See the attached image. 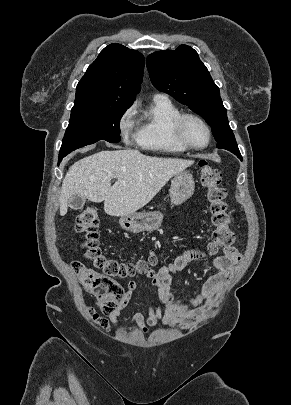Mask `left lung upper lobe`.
Here are the masks:
<instances>
[{"label": "left lung upper lobe", "mask_w": 291, "mask_h": 405, "mask_svg": "<svg viewBox=\"0 0 291 405\" xmlns=\"http://www.w3.org/2000/svg\"><path fill=\"white\" fill-rule=\"evenodd\" d=\"M146 64L151 82L158 90L170 94L206 120L218 148L235 155L240 153L219 88L193 48L180 45L175 50L155 52L147 57Z\"/></svg>", "instance_id": "1"}]
</instances>
